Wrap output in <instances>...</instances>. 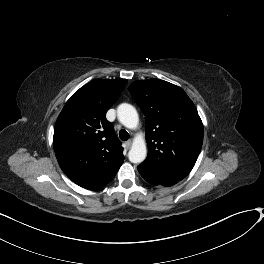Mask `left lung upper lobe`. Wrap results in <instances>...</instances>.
<instances>
[{
  "mask_svg": "<svg viewBox=\"0 0 264 264\" xmlns=\"http://www.w3.org/2000/svg\"><path fill=\"white\" fill-rule=\"evenodd\" d=\"M129 92L146 120L148 155L140 166L163 177L184 179L203 143L195 105L183 89L160 79L135 81Z\"/></svg>",
  "mask_w": 264,
  "mask_h": 264,
  "instance_id": "obj_1",
  "label": "left lung upper lobe"
}]
</instances>
